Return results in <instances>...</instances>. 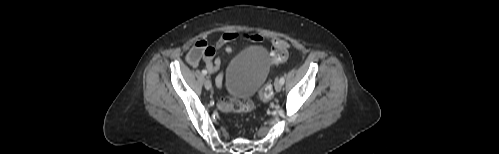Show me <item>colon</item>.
<instances>
[{
  "label": "colon",
  "mask_w": 499,
  "mask_h": 154,
  "mask_svg": "<svg viewBox=\"0 0 499 154\" xmlns=\"http://www.w3.org/2000/svg\"><path fill=\"white\" fill-rule=\"evenodd\" d=\"M214 54V48L208 46L205 41L200 40L193 45L190 51V58L192 60H198L200 58L209 60L214 57ZM271 55L273 63L285 61L288 57V44L283 40L275 39L273 41ZM259 98L263 103H267L272 98V88L270 84H266L260 89ZM217 107L223 113H246L254 109V103L249 99L240 100L227 97L219 100Z\"/></svg>",
  "instance_id": "1"
}]
</instances>
